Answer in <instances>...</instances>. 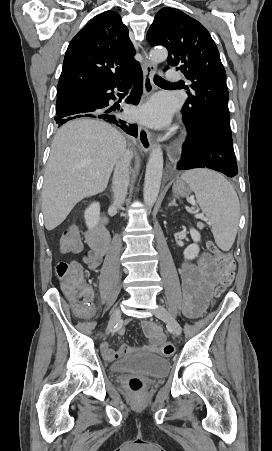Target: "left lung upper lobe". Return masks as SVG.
<instances>
[{
    "instance_id": "left-lung-upper-lobe-1",
    "label": "left lung upper lobe",
    "mask_w": 272,
    "mask_h": 451,
    "mask_svg": "<svg viewBox=\"0 0 272 451\" xmlns=\"http://www.w3.org/2000/svg\"><path fill=\"white\" fill-rule=\"evenodd\" d=\"M147 40L152 46H165L168 66H178L192 82L182 109L184 124H216L231 134L226 72L206 28L182 11L164 7L156 14Z\"/></svg>"
}]
</instances>
